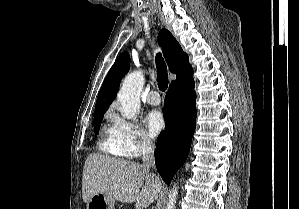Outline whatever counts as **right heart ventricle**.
Returning a JSON list of instances; mask_svg holds the SVG:
<instances>
[{"label":"right heart ventricle","mask_w":299,"mask_h":209,"mask_svg":"<svg viewBox=\"0 0 299 209\" xmlns=\"http://www.w3.org/2000/svg\"><path fill=\"white\" fill-rule=\"evenodd\" d=\"M101 151L116 156H123L121 149L115 139L114 129L112 126H105L102 129L101 137L98 142Z\"/></svg>","instance_id":"obj_1"}]
</instances>
